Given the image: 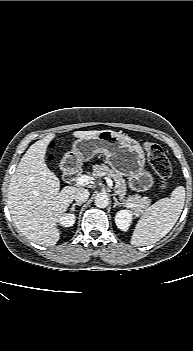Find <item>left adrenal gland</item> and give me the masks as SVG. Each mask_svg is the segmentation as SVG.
I'll list each match as a JSON object with an SVG mask.
<instances>
[{"instance_id":"left-adrenal-gland-1","label":"left adrenal gland","mask_w":193,"mask_h":351,"mask_svg":"<svg viewBox=\"0 0 193 351\" xmlns=\"http://www.w3.org/2000/svg\"><path fill=\"white\" fill-rule=\"evenodd\" d=\"M113 196V200H114V205L113 207L115 208L117 205H121L122 203L118 201V199L116 198L115 194H112Z\"/></svg>"}]
</instances>
